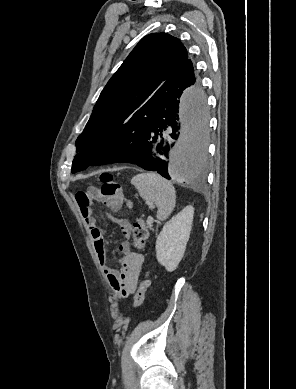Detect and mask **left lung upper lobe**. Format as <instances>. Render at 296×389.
I'll use <instances>...</instances> for the list:
<instances>
[{"label": "left lung upper lobe", "instance_id": "obj_1", "mask_svg": "<svg viewBox=\"0 0 296 389\" xmlns=\"http://www.w3.org/2000/svg\"><path fill=\"white\" fill-rule=\"evenodd\" d=\"M191 73L199 78L186 48L166 33L145 36L101 92L85 129L79 135L72 173L98 165V151L109 136L135 112L148 106L169 79Z\"/></svg>", "mask_w": 296, "mask_h": 389}]
</instances>
